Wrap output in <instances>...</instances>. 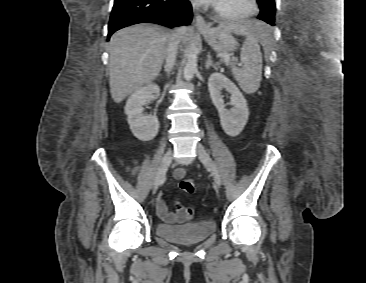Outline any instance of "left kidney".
<instances>
[{"instance_id":"5707ae66","label":"left kidney","mask_w":366,"mask_h":283,"mask_svg":"<svg viewBox=\"0 0 366 283\" xmlns=\"http://www.w3.org/2000/svg\"><path fill=\"white\" fill-rule=\"evenodd\" d=\"M208 88L212 102L218 110L224 132L232 137L239 135L249 117L247 101L243 94L230 79L217 72L209 77ZM223 89L231 94L230 104L233 107L230 110L225 108L222 95Z\"/></svg>"}]
</instances>
